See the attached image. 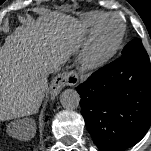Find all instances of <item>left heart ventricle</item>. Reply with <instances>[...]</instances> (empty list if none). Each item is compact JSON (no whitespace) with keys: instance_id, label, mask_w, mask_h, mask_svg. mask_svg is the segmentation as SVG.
<instances>
[{"instance_id":"left-heart-ventricle-1","label":"left heart ventricle","mask_w":151,"mask_h":151,"mask_svg":"<svg viewBox=\"0 0 151 151\" xmlns=\"http://www.w3.org/2000/svg\"><path fill=\"white\" fill-rule=\"evenodd\" d=\"M120 30V24L115 19H109L103 28L101 35V46L103 48L109 46L116 38Z\"/></svg>"}]
</instances>
